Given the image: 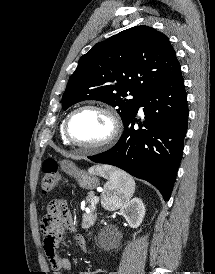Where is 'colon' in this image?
<instances>
[{"mask_svg":"<svg viewBox=\"0 0 215 274\" xmlns=\"http://www.w3.org/2000/svg\"><path fill=\"white\" fill-rule=\"evenodd\" d=\"M60 184L58 163L55 159L48 158L42 165L41 189L43 193H49Z\"/></svg>","mask_w":215,"mask_h":274,"instance_id":"obj_1","label":"colon"}]
</instances>
